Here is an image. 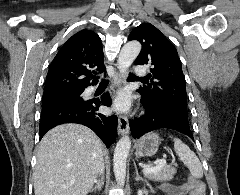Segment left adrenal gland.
Here are the masks:
<instances>
[{
	"label": "left adrenal gland",
	"instance_id": "obj_1",
	"mask_svg": "<svg viewBox=\"0 0 240 195\" xmlns=\"http://www.w3.org/2000/svg\"><path fill=\"white\" fill-rule=\"evenodd\" d=\"M134 167H135V171H136V177H135L136 181H139V179H141V181H145V183H147V185H148L147 179H143V177H140V175L138 173V169H137L136 163H134Z\"/></svg>",
	"mask_w": 240,
	"mask_h": 195
}]
</instances>
